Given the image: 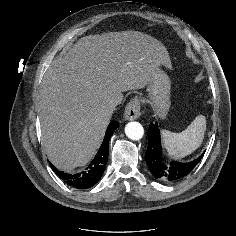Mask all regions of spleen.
Listing matches in <instances>:
<instances>
[{
    "label": "spleen",
    "instance_id": "1",
    "mask_svg": "<svg viewBox=\"0 0 236 236\" xmlns=\"http://www.w3.org/2000/svg\"><path fill=\"white\" fill-rule=\"evenodd\" d=\"M205 130L206 118L203 115H198L180 133L162 130L163 142L168 154L175 158H182L191 154L202 144Z\"/></svg>",
    "mask_w": 236,
    "mask_h": 236
}]
</instances>
